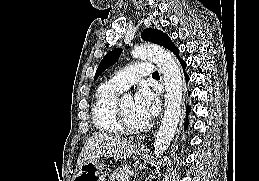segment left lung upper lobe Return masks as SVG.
Returning a JSON list of instances; mask_svg holds the SVG:
<instances>
[{"label": "left lung upper lobe", "mask_w": 259, "mask_h": 181, "mask_svg": "<svg viewBox=\"0 0 259 181\" xmlns=\"http://www.w3.org/2000/svg\"><path fill=\"white\" fill-rule=\"evenodd\" d=\"M141 38L145 41H149L158 45H161L167 49H169L173 43L171 39L167 36V34L163 33L161 30L147 28L141 33ZM121 54V49H114L107 53V55L101 60L94 80L97 79L99 75L103 71H105L109 66H111L114 62H116Z\"/></svg>", "instance_id": "1"}]
</instances>
